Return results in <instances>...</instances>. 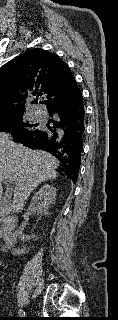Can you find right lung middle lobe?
Listing matches in <instances>:
<instances>
[{
  "label": "right lung middle lobe",
  "instance_id": "right-lung-middle-lobe-1",
  "mask_svg": "<svg viewBox=\"0 0 118 320\" xmlns=\"http://www.w3.org/2000/svg\"><path fill=\"white\" fill-rule=\"evenodd\" d=\"M37 124L25 122L23 117L8 116L0 119V132L11 133L16 141L38 131Z\"/></svg>",
  "mask_w": 118,
  "mask_h": 320
}]
</instances>
